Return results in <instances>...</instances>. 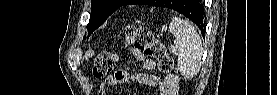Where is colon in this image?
<instances>
[{
    "label": "colon",
    "instance_id": "5ec220e1",
    "mask_svg": "<svg viewBox=\"0 0 277 95\" xmlns=\"http://www.w3.org/2000/svg\"><path fill=\"white\" fill-rule=\"evenodd\" d=\"M124 44L145 53L159 62L160 71L172 74L176 71L174 57L168 53L165 44L148 28L127 26L122 30ZM119 63V55L115 51H101L94 60L92 74L94 77L110 75Z\"/></svg>",
    "mask_w": 277,
    "mask_h": 95
}]
</instances>
